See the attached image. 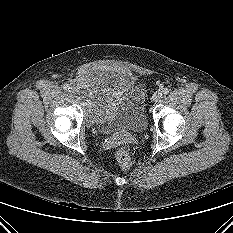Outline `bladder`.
Returning <instances> with one entry per match:
<instances>
[{
	"label": "bladder",
	"mask_w": 233,
	"mask_h": 233,
	"mask_svg": "<svg viewBox=\"0 0 233 233\" xmlns=\"http://www.w3.org/2000/svg\"><path fill=\"white\" fill-rule=\"evenodd\" d=\"M85 121L107 132H143L148 120L144 89L127 70L102 65L83 67L71 81Z\"/></svg>",
	"instance_id": "bladder-1"
}]
</instances>
